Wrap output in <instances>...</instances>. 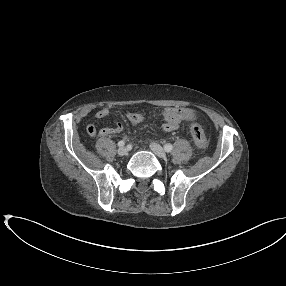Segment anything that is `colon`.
Here are the masks:
<instances>
[{
    "mask_svg": "<svg viewBox=\"0 0 286 286\" xmlns=\"http://www.w3.org/2000/svg\"><path fill=\"white\" fill-rule=\"evenodd\" d=\"M191 134L196 146L199 149L203 150L207 147V138L204 129L200 125L193 124L191 126Z\"/></svg>",
    "mask_w": 286,
    "mask_h": 286,
    "instance_id": "colon-1",
    "label": "colon"
}]
</instances>
